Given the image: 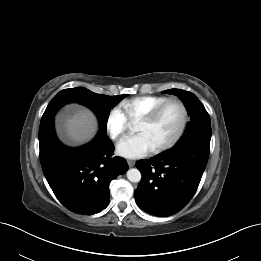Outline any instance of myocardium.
<instances>
[{
	"label": "myocardium",
	"mask_w": 261,
	"mask_h": 261,
	"mask_svg": "<svg viewBox=\"0 0 261 261\" xmlns=\"http://www.w3.org/2000/svg\"><path fill=\"white\" fill-rule=\"evenodd\" d=\"M171 105L178 107L181 112L180 125L171 139L155 148H152L153 153H160L162 151L170 149L181 139V137L186 131L189 122L188 109L181 100L176 98H170L158 105L157 107H155L153 110H151L149 113H147L145 116H143L137 121V123L152 124L160 117L164 110Z\"/></svg>",
	"instance_id": "f54148a6"
}]
</instances>
